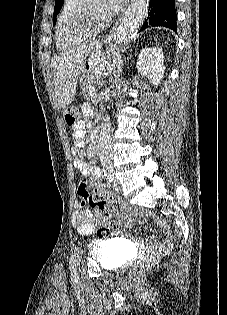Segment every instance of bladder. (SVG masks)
<instances>
[{"mask_svg":"<svg viewBox=\"0 0 227 315\" xmlns=\"http://www.w3.org/2000/svg\"><path fill=\"white\" fill-rule=\"evenodd\" d=\"M88 253L93 261L103 269H116L123 265L127 248L116 240H93Z\"/></svg>","mask_w":227,"mask_h":315,"instance_id":"obj_1","label":"bladder"}]
</instances>
